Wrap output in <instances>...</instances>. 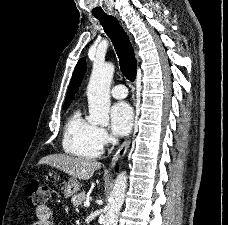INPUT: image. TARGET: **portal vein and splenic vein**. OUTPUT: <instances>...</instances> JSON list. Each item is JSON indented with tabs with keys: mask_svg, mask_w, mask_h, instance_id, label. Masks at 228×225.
Masks as SVG:
<instances>
[{
	"mask_svg": "<svg viewBox=\"0 0 228 225\" xmlns=\"http://www.w3.org/2000/svg\"><path fill=\"white\" fill-rule=\"evenodd\" d=\"M84 207H90L89 201H86V203H84Z\"/></svg>",
	"mask_w": 228,
	"mask_h": 225,
	"instance_id": "obj_1",
	"label": "portal vein and splenic vein"
}]
</instances>
